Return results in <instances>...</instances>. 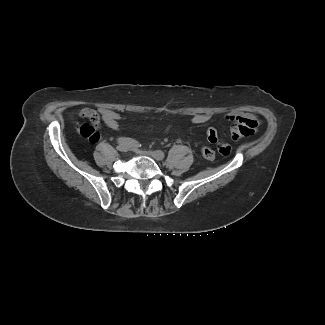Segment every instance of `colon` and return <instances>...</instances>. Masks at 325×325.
Listing matches in <instances>:
<instances>
[{
	"instance_id": "colon-1",
	"label": "colon",
	"mask_w": 325,
	"mask_h": 325,
	"mask_svg": "<svg viewBox=\"0 0 325 325\" xmlns=\"http://www.w3.org/2000/svg\"><path fill=\"white\" fill-rule=\"evenodd\" d=\"M80 133L83 137L89 139L92 142H96L99 139V134L96 129L90 124L86 123L81 126ZM202 155L206 160L213 161L215 159V151L208 146H203L201 149Z\"/></svg>"
}]
</instances>
